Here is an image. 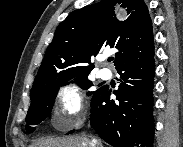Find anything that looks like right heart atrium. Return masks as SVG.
I'll return each mask as SVG.
<instances>
[{"label":"right heart atrium","mask_w":183,"mask_h":147,"mask_svg":"<svg viewBox=\"0 0 183 147\" xmlns=\"http://www.w3.org/2000/svg\"><path fill=\"white\" fill-rule=\"evenodd\" d=\"M84 108V98L81 90L75 84H66L57 93V104L53 115L56 122L62 121L64 126H70Z\"/></svg>","instance_id":"1"}]
</instances>
